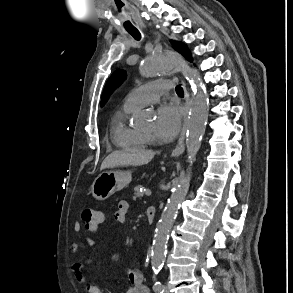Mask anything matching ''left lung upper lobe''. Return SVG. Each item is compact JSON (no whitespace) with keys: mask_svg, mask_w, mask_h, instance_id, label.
<instances>
[{"mask_svg":"<svg viewBox=\"0 0 293 293\" xmlns=\"http://www.w3.org/2000/svg\"><path fill=\"white\" fill-rule=\"evenodd\" d=\"M171 43L175 46V48L181 52L187 59L191 60V54L187 47L181 42L171 41ZM126 74L123 70H118L113 73V75L108 79L104 91L102 94L101 105H103L109 95L124 81Z\"/></svg>","mask_w":293,"mask_h":293,"instance_id":"1","label":"left lung upper lobe"}]
</instances>
